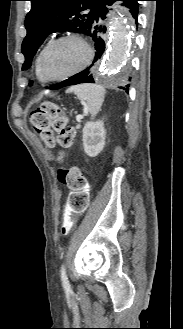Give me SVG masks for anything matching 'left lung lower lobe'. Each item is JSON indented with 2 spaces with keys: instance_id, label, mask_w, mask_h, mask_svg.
Wrapping results in <instances>:
<instances>
[{
  "instance_id": "left-lung-lower-lobe-1",
  "label": "left lung lower lobe",
  "mask_w": 183,
  "mask_h": 329,
  "mask_svg": "<svg viewBox=\"0 0 183 329\" xmlns=\"http://www.w3.org/2000/svg\"><path fill=\"white\" fill-rule=\"evenodd\" d=\"M121 1L123 2V5L128 7L130 9V12L132 13L133 18L136 20L137 24V16H138V1L141 0H106L105 3L98 9L93 25L88 32V36L92 37L94 41V48H95V57L92 62V64L86 68L85 70L71 76L70 78L60 82L57 86L52 87L51 89H59L65 86L70 85H76L80 83H94V79L92 77V74H90L91 67L93 64L97 61H99L105 51V38L100 33H105L106 27L103 25V20L106 19V15L109 12V7L114 2ZM129 84L124 87H119L123 90H125L127 93L129 92Z\"/></svg>"
}]
</instances>
